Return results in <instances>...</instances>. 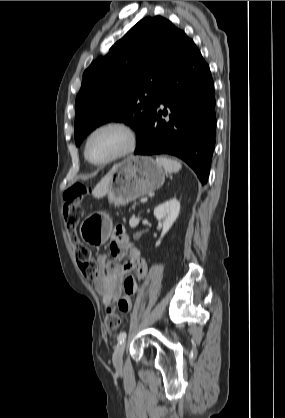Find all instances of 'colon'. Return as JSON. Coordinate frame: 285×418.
<instances>
[{"instance_id": "1", "label": "colon", "mask_w": 285, "mask_h": 418, "mask_svg": "<svg viewBox=\"0 0 285 418\" xmlns=\"http://www.w3.org/2000/svg\"><path fill=\"white\" fill-rule=\"evenodd\" d=\"M80 185H73L64 192L63 215L67 228V236L73 245L75 259L86 278L93 279L97 275V264L92 258L91 250L84 245L79 237L77 226L81 218L80 200L84 192ZM117 228L116 235L122 233ZM120 324V317L113 306L106 309L105 326L108 330L116 329Z\"/></svg>"}]
</instances>
